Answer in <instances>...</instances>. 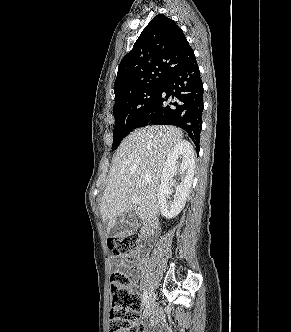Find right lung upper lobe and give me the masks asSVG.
Returning a JSON list of instances; mask_svg holds the SVG:
<instances>
[{
  "instance_id": "obj_1",
  "label": "right lung upper lobe",
  "mask_w": 291,
  "mask_h": 332,
  "mask_svg": "<svg viewBox=\"0 0 291 332\" xmlns=\"http://www.w3.org/2000/svg\"><path fill=\"white\" fill-rule=\"evenodd\" d=\"M193 59V50L175 21L164 14L155 16L119 64L115 100L163 82L171 72Z\"/></svg>"
}]
</instances>
